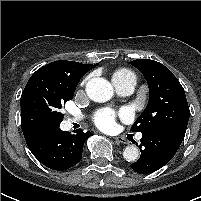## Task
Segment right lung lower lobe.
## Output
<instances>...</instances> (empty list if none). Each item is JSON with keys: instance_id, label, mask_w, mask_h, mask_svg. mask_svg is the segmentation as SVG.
Returning <instances> with one entry per match:
<instances>
[{"instance_id": "right-lung-lower-lobe-1", "label": "right lung lower lobe", "mask_w": 201, "mask_h": 201, "mask_svg": "<svg viewBox=\"0 0 201 201\" xmlns=\"http://www.w3.org/2000/svg\"><path fill=\"white\" fill-rule=\"evenodd\" d=\"M75 134L62 131L59 126L44 127L25 136L32 154L46 167L53 170H67L82 158L85 140L90 131L78 129Z\"/></svg>"}]
</instances>
